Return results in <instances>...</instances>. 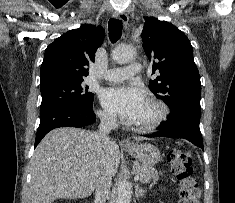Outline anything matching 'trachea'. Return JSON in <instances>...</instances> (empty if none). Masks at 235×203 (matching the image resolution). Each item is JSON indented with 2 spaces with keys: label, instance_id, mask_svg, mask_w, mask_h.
Segmentation results:
<instances>
[{
  "label": "trachea",
  "instance_id": "trachea-1",
  "mask_svg": "<svg viewBox=\"0 0 235 203\" xmlns=\"http://www.w3.org/2000/svg\"><path fill=\"white\" fill-rule=\"evenodd\" d=\"M109 39L112 43L119 40L122 34V21L111 18L108 23Z\"/></svg>",
  "mask_w": 235,
  "mask_h": 203
}]
</instances>
